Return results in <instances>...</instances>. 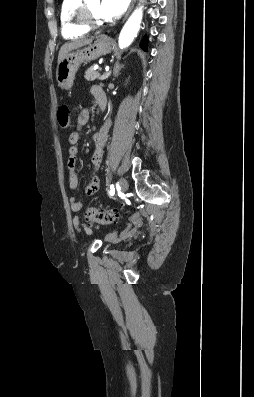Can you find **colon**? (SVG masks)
<instances>
[{
	"instance_id": "colon-1",
	"label": "colon",
	"mask_w": 254,
	"mask_h": 397,
	"mask_svg": "<svg viewBox=\"0 0 254 397\" xmlns=\"http://www.w3.org/2000/svg\"><path fill=\"white\" fill-rule=\"evenodd\" d=\"M57 121L62 129L70 125V109L67 105H62L57 112ZM120 218V212L117 209L99 210L90 207L86 211V219L94 224L109 225L116 223Z\"/></svg>"
}]
</instances>
